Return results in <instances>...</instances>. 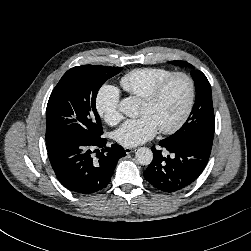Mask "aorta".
<instances>
[{
  "label": "aorta",
  "mask_w": 251,
  "mask_h": 251,
  "mask_svg": "<svg viewBox=\"0 0 251 251\" xmlns=\"http://www.w3.org/2000/svg\"><path fill=\"white\" fill-rule=\"evenodd\" d=\"M119 110L128 117H135L139 111V101L134 97L122 99L119 104ZM136 160L141 165H149L153 160V152L147 147L137 149L135 153Z\"/></svg>",
  "instance_id": "obj_1"
}]
</instances>
